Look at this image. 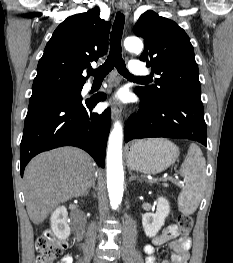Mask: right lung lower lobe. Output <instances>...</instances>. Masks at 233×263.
<instances>
[{
	"instance_id": "right-lung-lower-lobe-1",
	"label": "right lung lower lobe",
	"mask_w": 233,
	"mask_h": 263,
	"mask_svg": "<svg viewBox=\"0 0 233 263\" xmlns=\"http://www.w3.org/2000/svg\"><path fill=\"white\" fill-rule=\"evenodd\" d=\"M105 99V94L86 100L81 94H62L29 102L20 144L21 176L35 155L61 146L82 148L104 167L111 111L92 110Z\"/></svg>"
}]
</instances>
